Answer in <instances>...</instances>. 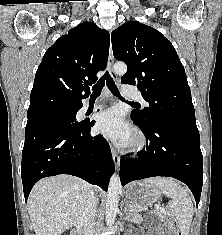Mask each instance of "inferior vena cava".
Here are the masks:
<instances>
[{"mask_svg": "<svg viewBox=\"0 0 222 235\" xmlns=\"http://www.w3.org/2000/svg\"><path fill=\"white\" fill-rule=\"evenodd\" d=\"M97 202L98 199L95 197L93 189L90 188V191L88 192L87 195V201L84 211L80 217V221L84 227L85 235H95L93 225H94Z\"/></svg>", "mask_w": 222, "mask_h": 235, "instance_id": "obj_1", "label": "inferior vena cava"}]
</instances>
